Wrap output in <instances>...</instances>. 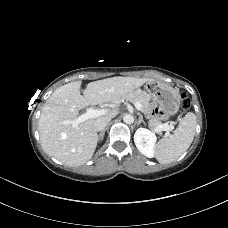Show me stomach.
Masks as SVG:
<instances>
[{
	"instance_id": "obj_1",
	"label": "stomach",
	"mask_w": 228,
	"mask_h": 228,
	"mask_svg": "<svg viewBox=\"0 0 228 228\" xmlns=\"http://www.w3.org/2000/svg\"><path fill=\"white\" fill-rule=\"evenodd\" d=\"M145 93L154 99L168 115H175L181 105V96L178 90L155 80L146 82Z\"/></svg>"
}]
</instances>
